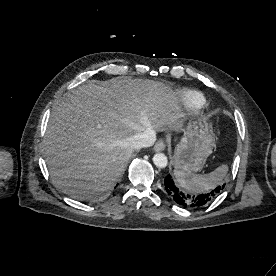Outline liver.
<instances>
[{
    "label": "liver",
    "instance_id": "obj_1",
    "mask_svg": "<svg viewBox=\"0 0 276 276\" xmlns=\"http://www.w3.org/2000/svg\"><path fill=\"white\" fill-rule=\"evenodd\" d=\"M184 116L177 93L154 80L72 89L53 107L44 140L54 185L79 200L110 190L134 151L128 139L150 129L178 131Z\"/></svg>",
    "mask_w": 276,
    "mask_h": 276
}]
</instances>
